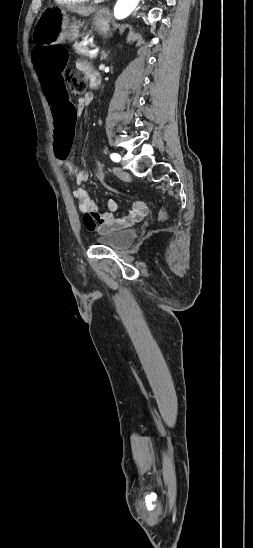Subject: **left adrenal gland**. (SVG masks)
Returning <instances> with one entry per match:
<instances>
[{
	"label": "left adrenal gland",
	"mask_w": 253,
	"mask_h": 548,
	"mask_svg": "<svg viewBox=\"0 0 253 548\" xmlns=\"http://www.w3.org/2000/svg\"><path fill=\"white\" fill-rule=\"evenodd\" d=\"M108 57V53H106L104 50L101 51V60H105Z\"/></svg>",
	"instance_id": "obj_1"
}]
</instances>
